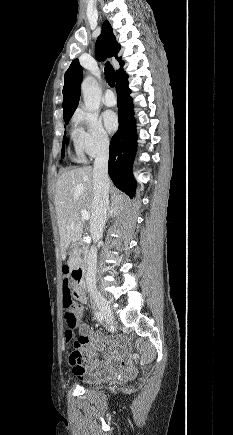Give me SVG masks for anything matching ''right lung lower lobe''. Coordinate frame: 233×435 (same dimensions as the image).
Instances as JSON below:
<instances>
[{
    "label": "right lung lower lobe",
    "instance_id": "98d812e1",
    "mask_svg": "<svg viewBox=\"0 0 233 435\" xmlns=\"http://www.w3.org/2000/svg\"><path fill=\"white\" fill-rule=\"evenodd\" d=\"M127 78L126 74L116 79L119 129L110 142L108 173L115 186L132 198L136 188L132 164L137 146V133Z\"/></svg>",
    "mask_w": 233,
    "mask_h": 435
}]
</instances>
